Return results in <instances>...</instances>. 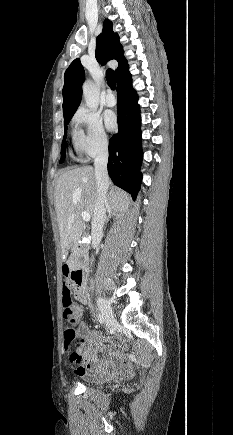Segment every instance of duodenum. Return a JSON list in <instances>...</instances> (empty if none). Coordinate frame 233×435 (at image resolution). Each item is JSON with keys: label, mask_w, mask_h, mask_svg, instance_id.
<instances>
[{"label": "duodenum", "mask_w": 233, "mask_h": 435, "mask_svg": "<svg viewBox=\"0 0 233 435\" xmlns=\"http://www.w3.org/2000/svg\"><path fill=\"white\" fill-rule=\"evenodd\" d=\"M88 251V246L84 243L80 244L76 250H71L67 255V262L70 268H72L76 281L74 283V295L75 298L81 303L87 302L84 279L87 276V266L82 263L75 267L72 264L82 258Z\"/></svg>", "instance_id": "410a0bca"}]
</instances>
